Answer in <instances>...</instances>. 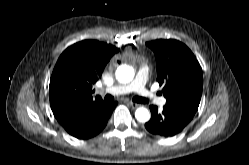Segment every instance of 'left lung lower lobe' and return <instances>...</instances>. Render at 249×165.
Segmentation results:
<instances>
[{
  "label": "left lung lower lobe",
  "instance_id": "left-lung-lower-lobe-1",
  "mask_svg": "<svg viewBox=\"0 0 249 165\" xmlns=\"http://www.w3.org/2000/svg\"><path fill=\"white\" fill-rule=\"evenodd\" d=\"M151 119L145 124L146 129L157 136L172 137L181 132L194 115L174 106L165 105L162 110L151 105Z\"/></svg>",
  "mask_w": 249,
  "mask_h": 165
}]
</instances>
